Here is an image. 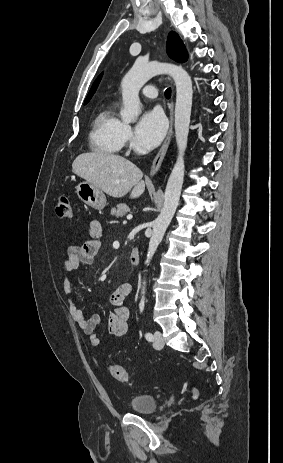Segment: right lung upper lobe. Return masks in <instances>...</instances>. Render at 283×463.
Instances as JSON below:
<instances>
[{"mask_svg": "<svg viewBox=\"0 0 283 463\" xmlns=\"http://www.w3.org/2000/svg\"><path fill=\"white\" fill-rule=\"evenodd\" d=\"M101 77H102V73L99 75V77L93 83V85H92V87H91V89L89 91V94L85 99V102H88L91 99V97L93 96V94L95 93V91H96V89L98 87V84L100 83Z\"/></svg>", "mask_w": 283, "mask_h": 463, "instance_id": "obj_1", "label": "right lung upper lobe"}]
</instances>
